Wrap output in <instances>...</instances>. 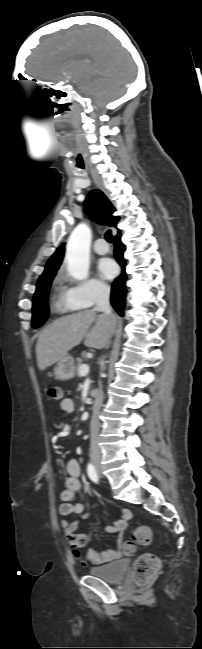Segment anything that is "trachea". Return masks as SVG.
<instances>
[{
	"instance_id": "obj_1",
	"label": "trachea",
	"mask_w": 202,
	"mask_h": 649,
	"mask_svg": "<svg viewBox=\"0 0 202 649\" xmlns=\"http://www.w3.org/2000/svg\"><path fill=\"white\" fill-rule=\"evenodd\" d=\"M105 239H106L109 243H112V234H111V231H110V230H108V231L105 233Z\"/></svg>"
}]
</instances>
